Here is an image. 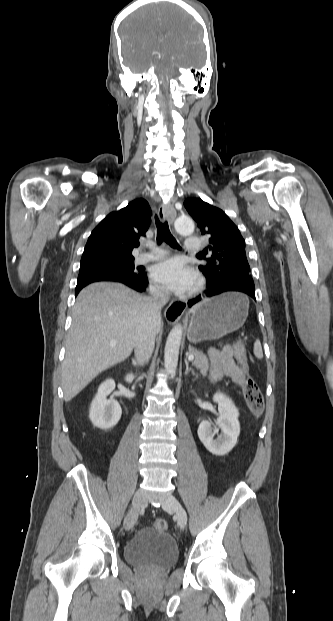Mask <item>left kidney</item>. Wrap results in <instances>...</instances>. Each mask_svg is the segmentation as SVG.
I'll return each mask as SVG.
<instances>
[{
  "label": "left kidney",
  "instance_id": "1",
  "mask_svg": "<svg viewBox=\"0 0 333 621\" xmlns=\"http://www.w3.org/2000/svg\"><path fill=\"white\" fill-rule=\"evenodd\" d=\"M213 401L218 404L219 418L216 425L220 427L222 434L214 440L215 431L213 432L211 423L202 421L198 427V436L209 452L223 456L237 443L240 434L239 412L232 400L221 392L214 394Z\"/></svg>",
  "mask_w": 333,
  "mask_h": 621
}]
</instances>
